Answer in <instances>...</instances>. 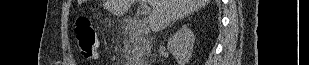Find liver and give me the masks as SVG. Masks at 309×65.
<instances>
[{
  "label": "liver",
  "mask_w": 309,
  "mask_h": 65,
  "mask_svg": "<svg viewBox=\"0 0 309 65\" xmlns=\"http://www.w3.org/2000/svg\"><path fill=\"white\" fill-rule=\"evenodd\" d=\"M135 0H103V8L122 16ZM150 5L148 17L152 31H160L171 22L181 19L207 5L210 0H146Z\"/></svg>",
  "instance_id": "obj_1"
}]
</instances>
